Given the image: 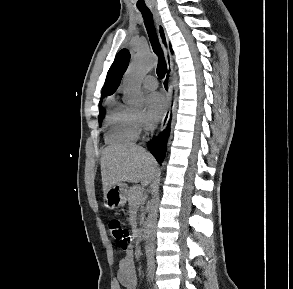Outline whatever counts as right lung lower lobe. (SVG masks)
<instances>
[{
  "label": "right lung lower lobe",
  "instance_id": "1",
  "mask_svg": "<svg viewBox=\"0 0 293 289\" xmlns=\"http://www.w3.org/2000/svg\"><path fill=\"white\" fill-rule=\"evenodd\" d=\"M171 121V118H170ZM170 133V128L167 127L158 137H156L152 142L149 143L148 147L150 152L156 158V160L161 163L165 157L167 139Z\"/></svg>",
  "mask_w": 293,
  "mask_h": 289
}]
</instances>
